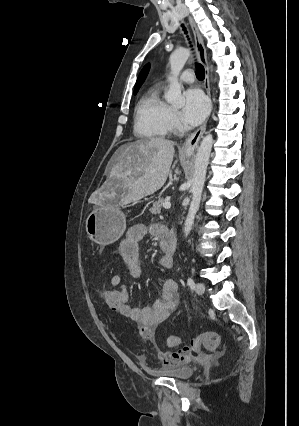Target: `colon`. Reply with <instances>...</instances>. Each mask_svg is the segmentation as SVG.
Returning a JSON list of instances; mask_svg holds the SVG:
<instances>
[{"label":"colon","instance_id":"colon-1","mask_svg":"<svg viewBox=\"0 0 299 426\" xmlns=\"http://www.w3.org/2000/svg\"><path fill=\"white\" fill-rule=\"evenodd\" d=\"M101 301L112 311L118 312L121 303L122 296L119 289L115 288H103L99 293ZM167 344L170 347H178L181 345V337L179 335H171L167 339ZM221 339L217 333L206 332L199 336L194 337L191 340L189 347H184L181 350L186 352L200 351L202 348L214 350L220 347Z\"/></svg>","mask_w":299,"mask_h":426}]
</instances>
